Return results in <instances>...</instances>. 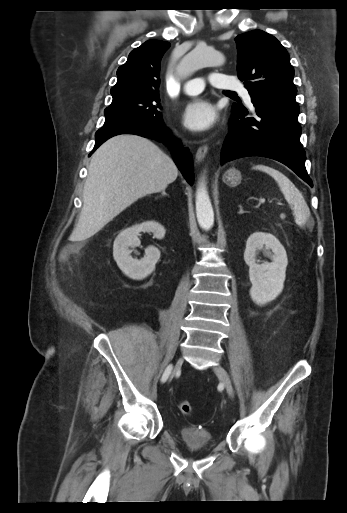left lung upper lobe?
I'll list each match as a JSON object with an SVG mask.
<instances>
[{
	"instance_id": "5c2ea615",
	"label": "left lung upper lobe",
	"mask_w": 347,
	"mask_h": 513,
	"mask_svg": "<svg viewBox=\"0 0 347 513\" xmlns=\"http://www.w3.org/2000/svg\"><path fill=\"white\" fill-rule=\"evenodd\" d=\"M237 74L251 97L295 98L294 69L286 49L272 35L253 30L235 38Z\"/></svg>"
}]
</instances>
